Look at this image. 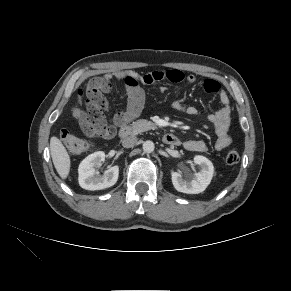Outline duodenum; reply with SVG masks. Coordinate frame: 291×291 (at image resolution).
<instances>
[{"label": "duodenum", "mask_w": 291, "mask_h": 291, "mask_svg": "<svg viewBox=\"0 0 291 291\" xmlns=\"http://www.w3.org/2000/svg\"><path fill=\"white\" fill-rule=\"evenodd\" d=\"M133 134V128L127 124L122 125L119 130V136L123 139L128 138ZM163 141L168 145H177L179 143L178 138L171 133H167L163 137Z\"/></svg>", "instance_id": "410a0bca"}]
</instances>
